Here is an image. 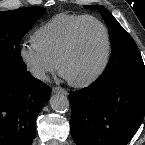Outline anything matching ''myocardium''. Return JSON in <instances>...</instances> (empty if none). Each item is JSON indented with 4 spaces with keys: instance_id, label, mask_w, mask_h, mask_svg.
<instances>
[{
    "instance_id": "myocardium-1",
    "label": "myocardium",
    "mask_w": 145,
    "mask_h": 145,
    "mask_svg": "<svg viewBox=\"0 0 145 145\" xmlns=\"http://www.w3.org/2000/svg\"><path fill=\"white\" fill-rule=\"evenodd\" d=\"M88 21L95 22L102 28L104 35H105V41H106V53H105L104 60H103L102 64L100 65V67L86 79H83L80 81H71V80H68L65 78L70 85L77 87V88L88 87L91 84H93L94 82H96L105 73L106 69L109 66L111 56H112V40H111V35H110V31H109L108 27L106 26V24L103 21H101L97 17L91 16V15H86V16L82 17L81 19H79L70 31L68 40L56 61V67H57L58 72L62 75V72H61L62 64L75 48V45L77 42V35H78V31H79L80 27L85 22H88Z\"/></svg>"
}]
</instances>
